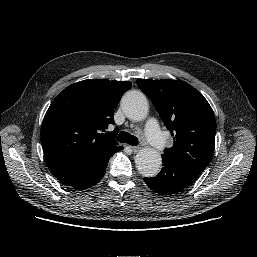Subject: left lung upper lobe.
Masks as SVG:
<instances>
[{"label": "left lung upper lobe", "instance_id": "1", "mask_svg": "<svg viewBox=\"0 0 257 257\" xmlns=\"http://www.w3.org/2000/svg\"><path fill=\"white\" fill-rule=\"evenodd\" d=\"M136 83L173 136L174 144L163 156L202 173L212 159L216 133L215 116L207 100L180 80L137 79Z\"/></svg>", "mask_w": 257, "mask_h": 257}]
</instances>
